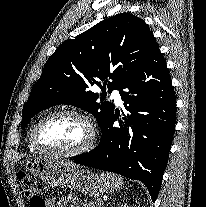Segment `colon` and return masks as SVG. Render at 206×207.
<instances>
[{
  "mask_svg": "<svg viewBox=\"0 0 206 207\" xmlns=\"http://www.w3.org/2000/svg\"><path fill=\"white\" fill-rule=\"evenodd\" d=\"M16 177L21 190L30 198V207H46L44 199L36 194L35 178L24 171H18Z\"/></svg>",
  "mask_w": 206,
  "mask_h": 207,
  "instance_id": "colon-1",
  "label": "colon"
}]
</instances>
